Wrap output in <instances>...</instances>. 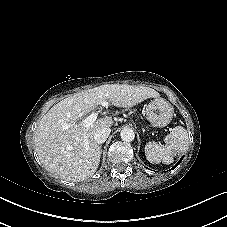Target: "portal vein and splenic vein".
<instances>
[{"label":"portal vein and splenic vein","instance_id":"portal-vein-and-splenic-vein-1","mask_svg":"<svg viewBox=\"0 0 227 227\" xmlns=\"http://www.w3.org/2000/svg\"><path fill=\"white\" fill-rule=\"evenodd\" d=\"M103 106H107V103H103ZM98 112H93L88 117H86L84 120H82L81 124L85 127H89L92 123H94L98 117Z\"/></svg>","mask_w":227,"mask_h":227}]
</instances>
